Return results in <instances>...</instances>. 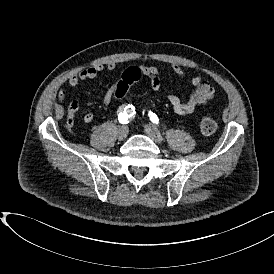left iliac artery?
Wrapping results in <instances>:
<instances>
[{"instance_id": "obj_1", "label": "left iliac artery", "mask_w": 274, "mask_h": 274, "mask_svg": "<svg viewBox=\"0 0 274 274\" xmlns=\"http://www.w3.org/2000/svg\"><path fill=\"white\" fill-rule=\"evenodd\" d=\"M148 115H149L150 120H151L153 123H155V124H158V123H159V119H158V117H157V115H156L155 113L149 112Z\"/></svg>"}]
</instances>
